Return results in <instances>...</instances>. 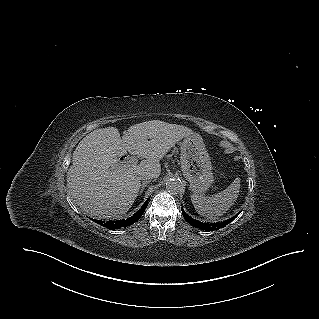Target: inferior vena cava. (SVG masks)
I'll return each mask as SVG.
<instances>
[{"label": "inferior vena cava", "mask_w": 319, "mask_h": 319, "mask_svg": "<svg viewBox=\"0 0 319 319\" xmlns=\"http://www.w3.org/2000/svg\"><path fill=\"white\" fill-rule=\"evenodd\" d=\"M140 180L149 181L150 179L155 178V174L153 172H141L138 175Z\"/></svg>", "instance_id": "1"}]
</instances>
